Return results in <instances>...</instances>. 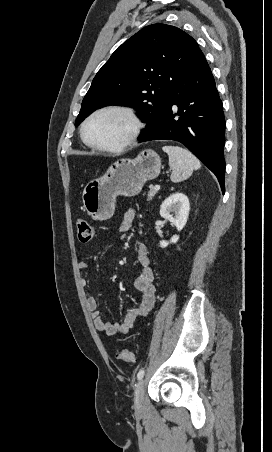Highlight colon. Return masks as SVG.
I'll use <instances>...</instances> for the list:
<instances>
[{
	"mask_svg": "<svg viewBox=\"0 0 272 452\" xmlns=\"http://www.w3.org/2000/svg\"><path fill=\"white\" fill-rule=\"evenodd\" d=\"M78 239L81 243H89L94 238L93 226L87 220L81 219L77 222ZM116 358L124 362H132L134 355L129 349H122L116 353Z\"/></svg>",
	"mask_w": 272,
	"mask_h": 452,
	"instance_id": "5ec220e1",
	"label": "colon"
}]
</instances>
